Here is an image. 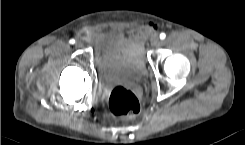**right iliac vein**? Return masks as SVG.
<instances>
[{
  "label": "right iliac vein",
  "mask_w": 245,
  "mask_h": 145,
  "mask_svg": "<svg viewBox=\"0 0 245 145\" xmlns=\"http://www.w3.org/2000/svg\"><path fill=\"white\" fill-rule=\"evenodd\" d=\"M75 46L78 47V48H80V47L83 46V42H82L81 40H77V41L75 42Z\"/></svg>",
  "instance_id": "right-iliac-vein-1"
}]
</instances>
